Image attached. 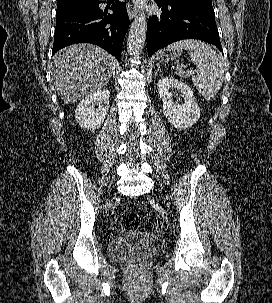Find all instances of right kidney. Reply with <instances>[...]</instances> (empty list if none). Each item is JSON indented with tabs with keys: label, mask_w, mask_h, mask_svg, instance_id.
<instances>
[{
	"label": "right kidney",
	"mask_w": 272,
	"mask_h": 303,
	"mask_svg": "<svg viewBox=\"0 0 272 303\" xmlns=\"http://www.w3.org/2000/svg\"><path fill=\"white\" fill-rule=\"evenodd\" d=\"M109 94L108 89L98 90L79 103L75 110V119L81 128L87 130L100 128L109 108Z\"/></svg>",
	"instance_id": "obj_1"
}]
</instances>
